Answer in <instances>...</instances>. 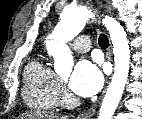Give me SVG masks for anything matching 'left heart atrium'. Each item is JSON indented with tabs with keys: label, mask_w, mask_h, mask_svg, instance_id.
<instances>
[{
	"label": "left heart atrium",
	"mask_w": 142,
	"mask_h": 119,
	"mask_svg": "<svg viewBox=\"0 0 142 119\" xmlns=\"http://www.w3.org/2000/svg\"><path fill=\"white\" fill-rule=\"evenodd\" d=\"M103 84L99 66L90 60L80 61L70 78V89L79 96L89 97L96 94Z\"/></svg>",
	"instance_id": "1"
}]
</instances>
